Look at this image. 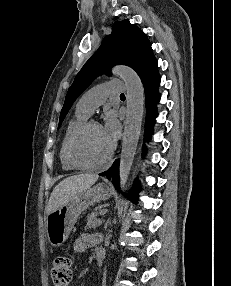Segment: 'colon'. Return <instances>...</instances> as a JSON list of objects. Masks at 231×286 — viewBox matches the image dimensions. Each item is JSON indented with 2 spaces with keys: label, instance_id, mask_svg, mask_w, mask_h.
<instances>
[{
  "label": "colon",
  "instance_id": "1",
  "mask_svg": "<svg viewBox=\"0 0 231 286\" xmlns=\"http://www.w3.org/2000/svg\"><path fill=\"white\" fill-rule=\"evenodd\" d=\"M51 277L54 286H68L72 277V262L65 255L55 257L52 268Z\"/></svg>",
  "mask_w": 231,
  "mask_h": 286
}]
</instances>
